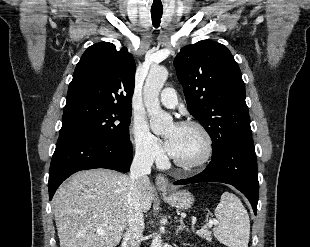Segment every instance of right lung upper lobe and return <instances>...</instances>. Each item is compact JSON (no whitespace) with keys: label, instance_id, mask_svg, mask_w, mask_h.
Wrapping results in <instances>:
<instances>
[{"label":"right lung upper lobe","instance_id":"1","mask_svg":"<svg viewBox=\"0 0 310 247\" xmlns=\"http://www.w3.org/2000/svg\"><path fill=\"white\" fill-rule=\"evenodd\" d=\"M135 62L126 47L109 42L90 46L77 64L64 110L75 107L131 110Z\"/></svg>","mask_w":310,"mask_h":247}]
</instances>
